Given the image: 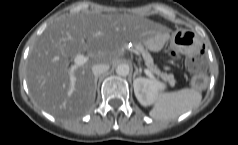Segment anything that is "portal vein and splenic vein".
Listing matches in <instances>:
<instances>
[{"instance_id": "1", "label": "portal vein and splenic vein", "mask_w": 238, "mask_h": 145, "mask_svg": "<svg viewBox=\"0 0 238 145\" xmlns=\"http://www.w3.org/2000/svg\"><path fill=\"white\" fill-rule=\"evenodd\" d=\"M88 61V57L83 55V54H78L75 58H74V65L72 66L71 71H73L76 67L84 65L86 62ZM145 74L147 76H149L150 78L154 79V75L152 74V72L149 69H145L144 70ZM71 86L72 89L75 86V78L71 75Z\"/></svg>"}]
</instances>
